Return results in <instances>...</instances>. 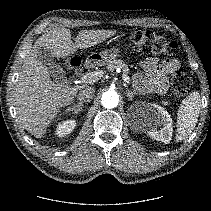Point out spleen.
<instances>
[{"instance_id":"spleen-1","label":"spleen","mask_w":211,"mask_h":211,"mask_svg":"<svg viewBox=\"0 0 211 211\" xmlns=\"http://www.w3.org/2000/svg\"><path fill=\"white\" fill-rule=\"evenodd\" d=\"M201 107L198 91L191 92L183 101L177 113L176 141L179 142L191 134L196 126Z\"/></svg>"}]
</instances>
